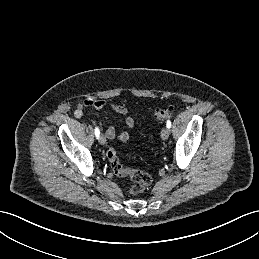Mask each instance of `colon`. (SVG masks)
Instances as JSON below:
<instances>
[{"label":"colon","mask_w":259,"mask_h":259,"mask_svg":"<svg viewBox=\"0 0 259 259\" xmlns=\"http://www.w3.org/2000/svg\"><path fill=\"white\" fill-rule=\"evenodd\" d=\"M172 114L171 108H158L153 112V117L159 122H163ZM107 159L113 172L119 177H127L132 181L130 188L131 194H139L145 191L151 184V177L147 173L139 170L125 168L120 163L116 150L113 147L108 148L106 152Z\"/></svg>","instance_id":"colon-1"}]
</instances>
